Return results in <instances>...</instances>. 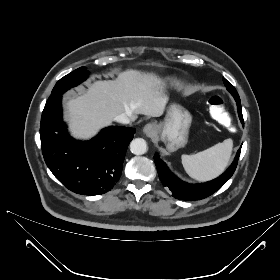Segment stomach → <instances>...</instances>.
<instances>
[{
    "instance_id": "1",
    "label": "stomach",
    "mask_w": 280,
    "mask_h": 280,
    "mask_svg": "<svg viewBox=\"0 0 280 280\" xmlns=\"http://www.w3.org/2000/svg\"><path fill=\"white\" fill-rule=\"evenodd\" d=\"M191 123V114L183 106L174 103L169 106L164 121L156 124L157 134L166 148L174 152L187 144Z\"/></svg>"
}]
</instances>
